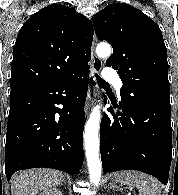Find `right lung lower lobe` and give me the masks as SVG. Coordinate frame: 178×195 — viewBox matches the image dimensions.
I'll use <instances>...</instances> for the list:
<instances>
[{
  "label": "right lung lower lobe",
  "instance_id": "1",
  "mask_svg": "<svg viewBox=\"0 0 178 195\" xmlns=\"http://www.w3.org/2000/svg\"><path fill=\"white\" fill-rule=\"evenodd\" d=\"M88 69L61 82L11 91L5 151L8 181L14 172L35 167L79 173Z\"/></svg>",
  "mask_w": 178,
  "mask_h": 195
}]
</instances>
